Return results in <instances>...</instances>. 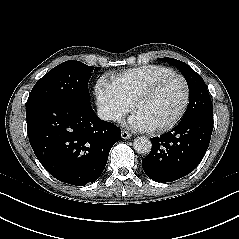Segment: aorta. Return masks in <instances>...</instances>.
<instances>
[{
    "instance_id": "obj_1",
    "label": "aorta",
    "mask_w": 239,
    "mask_h": 239,
    "mask_svg": "<svg viewBox=\"0 0 239 239\" xmlns=\"http://www.w3.org/2000/svg\"><path fill=\"white\" fill-rule=\"evenodd\" d=\"M134 150L139 154H148L151 151L152 143L147 137H136L133 142Z\"/></svg>"
}]
</instances>
